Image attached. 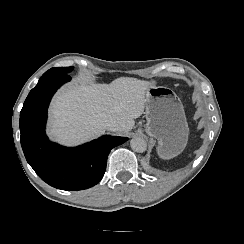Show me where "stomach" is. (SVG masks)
Returning a JSON list of instances; mask_svg holds the SVG:
<instances>
[{"instance_id": "obj_1", "label": "stomach", "mask_w": 244, "mask_h": 244, "mask_svg": "<svg viewBox=\"0 0 244 244\" xmlns=\"http://www.w3.org/2000/svg\"><path fill=\"white\" fill-rule=\"evenodd\" d=\"M146 133L158 140L157 152L163 159L180 154L188 141V123L182 102L166 86H152L146 91Z\"/></svg>"}]
</instances>
